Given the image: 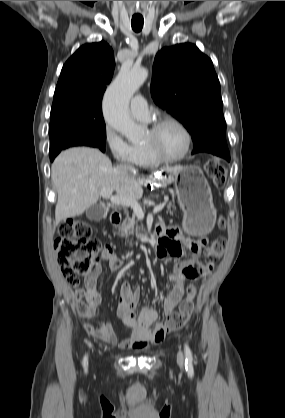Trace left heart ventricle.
Returning a JSON list of instances; mask_svg holds the SVG:
<instances>
[{
    "label": "left heart ventricle",
    "instance_id": "1",
    "mask_svg": "<svg viewBox=\"0 0 285 418\" xmlns=\"http://www.w3.org/2000/svg\"><path fill=\"white\" fill-rule=\"evenodd\" d=\"M144 143L153 144L166 157H176L184 149L185 137L176 125L166 124L154 134L149 131Z\"/></svg>",
    "mask_w": 285,
    "mask_h": 418
}]
</instances>
